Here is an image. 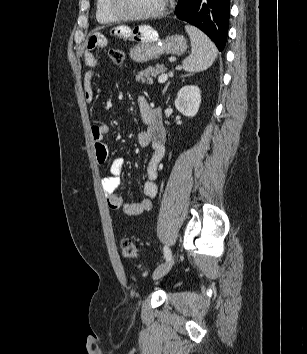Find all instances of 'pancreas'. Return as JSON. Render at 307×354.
Wrapping results in <instances>:
<instances>
[{
    "label": "pancreas",
    "instance_id": "1",
    "mask_svg": "<svg viewBox=\"0 0 307 354\" xmlns=\"http://www.w3.org/2000/svg\"><path fill=\"white\" fill-rule=\"evenodd\" d=\"M164 70L165 68L163 65H155V66L147 67L136 75V81L152 84L154 78H156L159 74L163 73Z\"/></svg>",
    "mask_w": 307,
    "mask_h": 354
}]
</instances>
